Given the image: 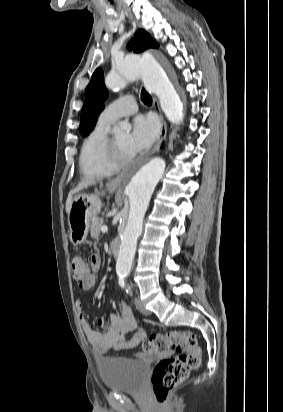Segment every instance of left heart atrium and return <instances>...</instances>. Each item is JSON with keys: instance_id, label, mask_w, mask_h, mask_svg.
<instances>
[{"instance_id": "obj_1", "label": "left heart atrium", "mask_w": 283, "mask_h": 412, "mask_svg": "<svg viewBox=\"0 0 283 412\" xmlns=\"http://www.w3.org/2000/svg\"><path fill=\"white\" fill-rule=\"evenodd\" d=\"M159 133V122L154 115H141L135 118L130 135V148L134 154L151 147Z\"/></svg>"}]
</instances>
